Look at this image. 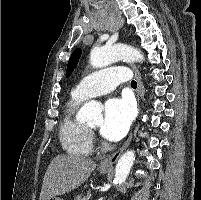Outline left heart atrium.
Listing matches in <instances>:
<instances>
[{
    "label": "left heart atrium",
    "instance_id": "left-heart-atrium-1",
    "mask_svg": "<svg viewBox=\"0 0 201 200\" xmlns=\"http://www.w3.org/2000/svg\"><path fill=\"white\" fill-rule=\"evenodd\" d=\"M133 119L131 103L126 99L113 98L106 102L100 134L107 140L119 141L128 132Z\"/></svg>",
    "mask_w": 201,
    "mask_h": 200
}]
</instances>
